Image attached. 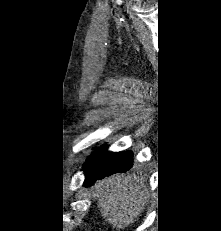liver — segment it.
<instances>
[{
	"mask_svg": "<svg viewBox=\"0 0 221 231\" xmlns=\"http://www.w3.org/2000/svg\"><path fill=\"white\" fill-rule=\"evenodd\" d=\"M92 197L106 221L118 229L132 224L143 212L148 188L135 174H117L95 184Z\"/></svg>",
	"mask_w": 221,
	"mask_h": 231,
	"instance_id": "liver-1",
	"label": "liver"
}]
</instances>
